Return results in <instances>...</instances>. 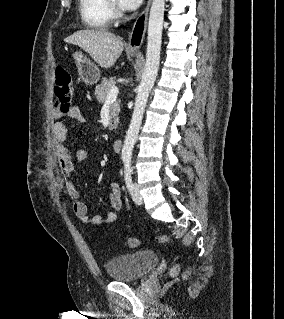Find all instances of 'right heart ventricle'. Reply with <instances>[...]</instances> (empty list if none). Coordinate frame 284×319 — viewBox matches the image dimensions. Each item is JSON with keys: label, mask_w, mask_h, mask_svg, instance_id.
Here are the masks:
<instances>
[{"label": "right heart ventricle", "mask_w": 284, "mask_h": 319, "mask_svg": "<svg viewBox=\"0 0 284 319\" xmlns=\"http://www.w3.org/2000/svg\"><path fill=\"white\" fill-rule=\"evenodd\" d=\"M83 23L93 29H105L112 23V9L108 0H78Z\"/></svg>", "instance_id": "e07e8e85"}]
</instances>
